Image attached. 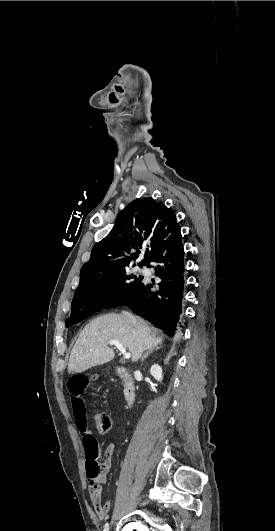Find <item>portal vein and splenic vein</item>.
<instances>
[{"label": "portal vein and splenic vein", "instance_id": "obj_1", "mask_svg": "<svg viewBox=\"0 0 275 531\" xmlns=\"http://www.w3.org/2000/svg\"><path fill=\"white\" fill-rule=\"evenodd\" d=\"M109 345H114V347H117L120 353H122L124 359H130L131 353H126V349H124L123 345H121L119 341H114V339H112V341H109Z\"/></svg>", "mask_w": 275, "mask_h": 531}]
</instances>
